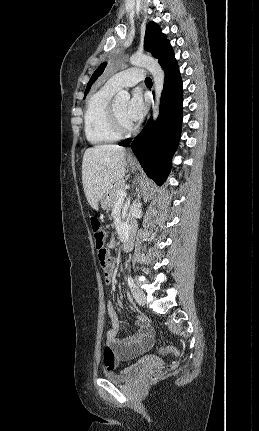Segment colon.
I'll list each match as a JSON object with an SVG mask.
<instances>
[{
	"mask_svg": "<svg viewBox=\"0 0 259 431\" xmlns=\"http://www.w3.org/2000/svg\"><path fill=\"white\" fill-rule=\"evenodd\" d=\"M91 227H92L93 237L95 241V246L98 251V258L100 261L101 268L107 267V266L112 267L113 259L109 250V246L107 245V242H106V234L98 218L96 217L91 218ZM105 351L107 353H110V349L108 347H106ZM158 352L161 354H169L172 356H177L179 354L178 350L174 347H169L166 349L161 348V349H158ZM174 367H175V364H172L169 368L172 369ZM161 375H162V371L155 370L150 372L149 378L151 380H155L159 378Z\"/></svg>",
	"mask_w": 259,
	"mask_h": 431,
	"instance_id": "colon-1",
	"label": "colon"
}]
</instances>
